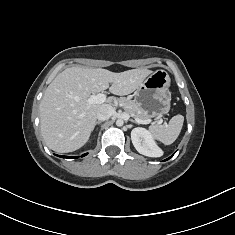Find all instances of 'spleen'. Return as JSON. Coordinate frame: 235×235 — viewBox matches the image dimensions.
<instances>
[{
	"label": "spleen",
	"instance_id": "3e777b00",
	"mask_svg": "<svg viewBox=\"0 0 235 235\" xmlns=\"http://www.w3.org/2000/svg\"><path fill=\"white\" fill-rule=\"evenodd\" d=\"M183 122L184 117L178 114L172 117L168 124L151 126L149 130L155 139L165 145H170L179 136Z\"/></svg>",
	"mask_w": 235,
	"mask_h": 235
}]
</instances>
